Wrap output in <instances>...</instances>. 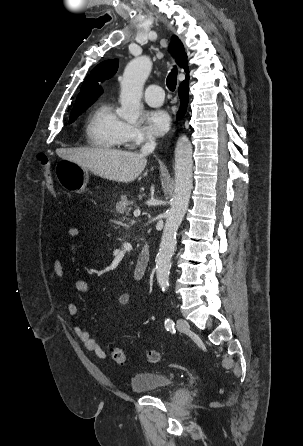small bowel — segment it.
<instances>
[{
    "mask_svg": "<svg viewBox=\"0 0 303 446\" xmlns=\"http://www.w3.org/2000/svg\"><path fill=\"white\" fill-rule=\"evenodd\" d=\"M67 236L71 239H76L81 236V230L78 227H69L66 232ZM53 272L59 280L60 284H63L65 277V270L63 263L60 258H56L53 262ZM74 288L84 294H90L92 289L89 283L83 279H76L73 283ZM130 299L129 293H123L118 298V305L124 306L128 303ZM67 310L70 316H77L78 307L73 303L69 302L67 305ZM75 335L78 339L84 344L85 348L92 353H95L97 356L104 358L105 352L103 351L99 342L91 337L90 333L81 326H75L73 328Z\"/></svg>",
    "mask_w": 303,
    "mask_h": 446,
    "instance_id": "1",
    "label": "small bowel"
}]
</instances>
